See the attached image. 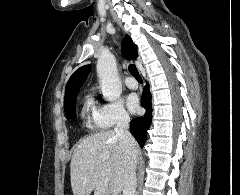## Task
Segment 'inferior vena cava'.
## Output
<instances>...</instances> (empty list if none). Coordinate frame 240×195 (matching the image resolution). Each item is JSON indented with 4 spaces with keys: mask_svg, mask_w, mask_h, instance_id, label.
Returning <instances> with one entry per match:
<instances>
[{
    "mask_svg": "<svg viewBox=\"0 0 240 195\" xmlns=\"http://www.w3.org/2000/svg\"><path fill=\"white\" fill-rule=\"evenodd\" d=\"M130 117L128 113H121L117 125H115V135L122 139L126 145H135L136 141L129 131ZM136 159H132L130 167V175L124 185L123 195H135L136 191Z\"/></svg>",
    "mask_w": 240,
    "mask_h": 195,
    "instance_id": "1",
    "label": "inferior vena cava"
}]
</instances>
